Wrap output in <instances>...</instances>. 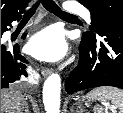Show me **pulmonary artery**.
Returning <instances> with one entry per match:
<instances>
[{
  "label": "pulmonary artery",
  "mask_w": 123,
  "mask_h": 113,
  "mask_svg": "<svg viewBox=\"0 0 123 113\" xmlns=\"http://www.w3.org/2000/svg\"><path fill=\"white\" fill-rule=\"evenodd\" d=\"M65 7L68 12L77 13L81 15L85 20L90 21V13L87 9L83 8L76 2L67 1L65 2Z\"/></svg>",
  "instance_id": "pulmonary-artery-1"
}]
</instances>
